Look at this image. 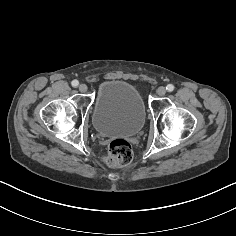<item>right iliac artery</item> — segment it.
<instances>
[{
    "label": "right iliac artery",
    "instance_id": "1",
    "mask_svg": "<svg viewBox=\"0 0 236 236\" xmlns=\"http://www.w3.org/2000/svg\"><path fill=\"white\" fill-rule=\"evenodd\" d=\"M71 84H72L73 87H77L78 84H79V82H78L77 80H73V81L71 82Z\"/></svg>",
    "mask_w": 236,
    "mask_h": 236
}]
</instances>
